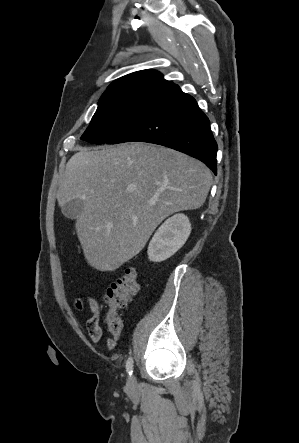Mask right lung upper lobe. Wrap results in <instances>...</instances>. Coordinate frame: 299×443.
<instances>
[{"label": "right lung upper lobe", "instance_id": "1", "mask_svg": "<svg viewBox=\"0 0 299 443\" xmlns=\"http://www.w3.org/2000/svg\"><path fill=\"white\" fill-rule=\"evenodd\" d=\"M173 84L163 78V75L155 70L147 69L136 71L125 75L113 83H111L105 92L124 89V88H141V87H159L168 89Z\"/></svg>", "mask_w": 299, "mask_h": 443}]
</instances>
